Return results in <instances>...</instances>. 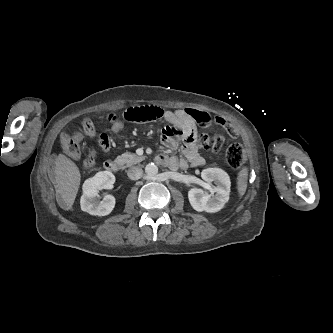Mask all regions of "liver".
Instances as JSON below:
<instances>
[{
    "label": "liver",
    "mask_w": 333,
    "mask_h": 333,
    "mask_svg": "<svg viewBox=\"0 0 333 333\" xmlns=\"http://www.w3.org/2000/svg\"><path fill=\"white\" fill-rule=\"evenodd\" d=\"M56 187L65 207L70 208L75 201L81 175L77 165L63 154H59L55 163Z\"/></svg>",
    "instance_id": "liver-1"
}]
</instances>
